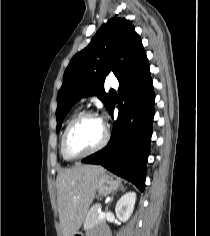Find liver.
<instances>
[{
    "mask_svg": "<svg viewBox=\"0 0 210 236\" xmlns=\"http://www.w3.org/2000/svg\"><path fill=\"white\" fill-rule=\"evenodd\" d=\"M104 171L101 166L79 164L58 173L56 191L63 236H74L80 229Z\"/></svg>",
    "mask_w": 210,
    "mask_h": 236,
    "instance_id": "6515ba94",
    "label": "liver"
}]
</instances>
